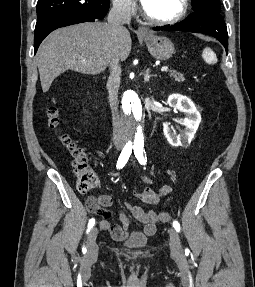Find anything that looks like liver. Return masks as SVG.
Instances as JSON below:
<instances>
[{
	"instance_id": "6515ba94",
	"label": "liver",
	"mask_w": 255,
	"mask_h": 287,
	"mask_svg": "<svg viewBox=\"0 0 255 287\" xmlns=\"http://www.w3.org/2000/svg\"><path fill=\"white\" fill-rule=\"evenodd\" d=\"M112 34L108 24L87 22L52 32L37 52V66L43 92H48L53 80L74 70L81 74H100L106 70L112 58ZM131 38L123 30L118 40L121 62L131 52Z\"/></svg>"
}]
</instances>
